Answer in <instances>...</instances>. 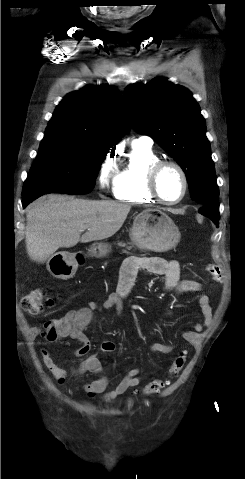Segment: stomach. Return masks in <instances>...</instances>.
<instances>
[{"label": "stomach", "mask_w": 245, "mask_h": 479, "mask_svg": "<svg viewBox=\"0 0 245 479\" xmlns=\"http://www.w3.org/2000/svg\"><path fill=\"white\" fill-rule=\"evenodd\" d=\"M130 237L139 249L165 252L178 244L181 234L168 215L161 211L145 210L134 218ZM89 251L95 258H105L111 253V245L106 242L94 243ZM77 268V257L69 252H57L47 260L48 271L59 279L73 277Z\"/></svg>", "instance_id": "stomach-1"}]
</instances>
